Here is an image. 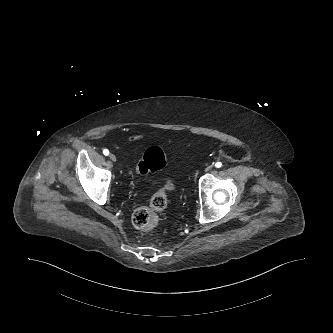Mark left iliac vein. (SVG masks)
Instances as JSON below:
<instances>
[{
    "label": "left iliac vein",
    "mask_w": 333,
    "mask_h": 333,
    "mask_svg": "<svg viewBox=\"0 0 333 333\" xmlns=\"http://www.w3.org/2000/svg\"><path fill=\"white\" fill-rule=\"evenodd\" d=\"M212 168H213V166L212 165H208L206 168H205V171H210V170H212Z\"/></svg>",
    "instance_id": "1"
}]
</instances>
